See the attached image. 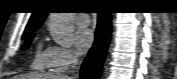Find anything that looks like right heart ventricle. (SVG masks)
Instances as JSON below:
<instances>
[{
  "instance_id": "obj_1",
  "label": "right heart ventricle",
  "mask_w": 177,
  "mask_h": 79,
  "mask_svg": "<svg viewBox=\"0 0 177 79\" xmlns=\"http://www.w3.org/2000/svg\"><path fill=\"white\" fill-rule=\"evenodd\" d=\"M31 67L38 71H44L50 67L47 50H44L40 45L35 50Z\"/></svg>"
}]
</instances>
